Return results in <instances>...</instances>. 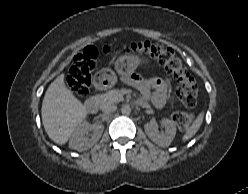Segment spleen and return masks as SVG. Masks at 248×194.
Instances as JSON below:
<instances>
[{
    "label": "spleen",
    "instance_id": "obj_1",
    "mask_svg": "<svg viewBox=\"0 0 248 194\" xmlns=\"http://www.w3.org/2000/svg\"><path fill=\"white\" fill-rule=\"evenodd\" d=\"M203 117H204V113L201 112L197 118L195 119V121L193 122V124L190 126V128L186 131V133L183 136V142L189 140L190 138H192L196 132L199 130L202 122H203Z\"/></svg>",
    "mask_w": 248,
    "mask_h": 194
}]
</instances>
